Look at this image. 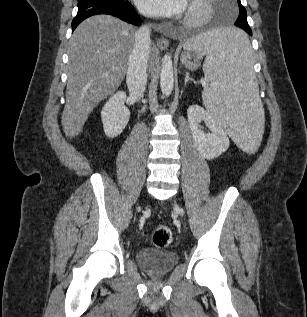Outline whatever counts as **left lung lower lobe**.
Masks as SVG:
<instances>
[{
  "instance_id": "left-lung-lower-lobe-1",
  "label": "left lung lower lobe",
  "mask_w": 307,
  "mask_h": 317,
  "mask_svg": "<svg viewBox=\"0 0 307 317\" xmlns=\"http://www.w3.org/2000/svg\"><path fill=\"white\" fill-rule=\"evenodd\" d=\"M242 29L246 31L250 36H252V31L250 27H243ZM226 43L236 52H241L247 46V39L238 36H231L226 40Z\"/></svg>"
}]
</instances>
